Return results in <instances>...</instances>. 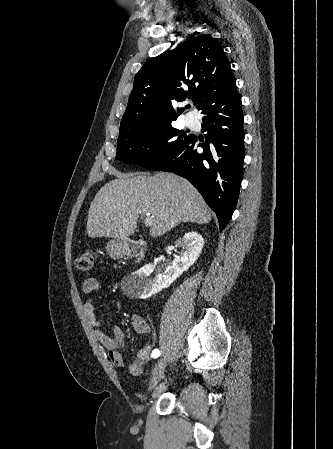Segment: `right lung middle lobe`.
Returning <instances> with one entry per match:
<instances>
[{
	"label": "right lung middle lobe",
	"instance_id": "dd1d6c3e",
	"mask_svg": "<svg viewBox=\"0 0 333 449\" xmlns=\"http://www.w3.org/2000/svg\"><path fill=\"white\" fill-rule=\"evenodd\" d=\"M172 121L118 140L116 159L152 169L163 163L191 137L173 128Z\"/></svg>",
	"mask_w": 333,
	"mask_h": 449
}]
</instances>
